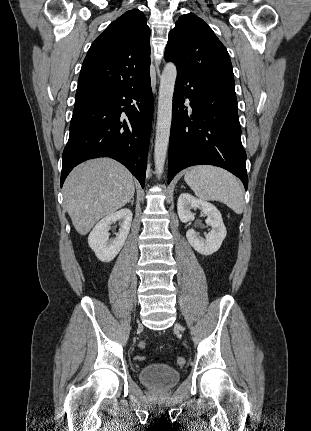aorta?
Listing matches in <instances>:
<instances>
[{
	"label": "aorta",
	"instance_id": "1",
	"mask_svg": "<svg viewBox=\"0 0 311 431\" xmlns=\"http://www.w3.org/2000/svg\"><path fill=\"white\" fill-rule=\"evenodd\" d=\"M177 76L176 66L166 64L160 82L156 136L154 146L155 172L158 178L163 174L164 164L169 146L172 122V100Z\"/></svg>",
	"mask_w": 311,
	"mask_h": 431
}]
</instances>
